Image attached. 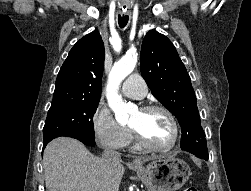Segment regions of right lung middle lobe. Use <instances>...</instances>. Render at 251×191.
Segmentation results:
<instances>
[{"mask_svg": "<svg viewBox=\"0 0 251 191\" xmlns=\"http://www.w3.org/2000/svg\"><path fill=\"white\" fill-rule=\"evenodd\" d=\"M99 101L51 106L43 128L44 143L66 133L95 138L93 116Z\"/></svg>", "mask_w": 251, "mask_h": 191, "instance_id": "obj_1", "label": "right lung middle lobe"}]
</instances>
